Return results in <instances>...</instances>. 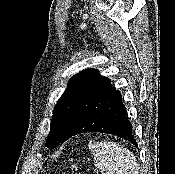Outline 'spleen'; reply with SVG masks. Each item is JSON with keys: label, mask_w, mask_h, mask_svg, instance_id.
I'll list each match as a JSON object with an SVG mask.
<instances>
[{"label": "spleen", "mask_w": 175, "mask_h": 174, "mask_svg": "<svg viewBox=\"0 0 175 174\" xmlns=\"http://www.w3.org/2000/svg\"><path fill=\"white\" fill-rule=\"evenodd\" d=\"M89 150L94 156V167L101 174H138V164L131 151L116 142H92Z\"/></svg>", "instance_id": "obj_1"}]
</instances>
